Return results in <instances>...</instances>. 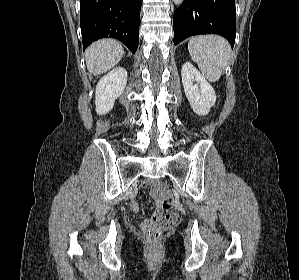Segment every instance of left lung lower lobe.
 <instances>
[{
	"mask_svg": "<svg viewBox=\"0 0 299 280\" xmlns=\"http://www.w3.org/2000/svg\"><path fill=\"white\" fill-rule=\"evenodd\" d=\"M174 44L198 34H219L233 47L235 0H184L173 17Z\"/></svg>",
	"mask_w": 299,
	"mask_h": 280,
	"instance_id": "0a47b994",
	"label": "left lung lower lobe"
}]
</instances>
